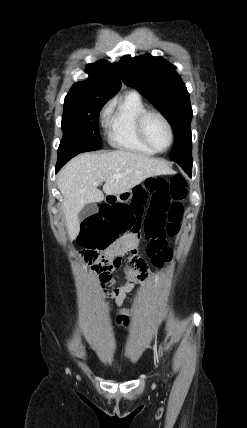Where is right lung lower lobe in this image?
Returning <instances> with one entry per match:
<instances>
[{
  "label": "right lung lower lobe",
  "mask_w": 247,
  "mask_h": 428,
  "mask_svg": "<svg viewBox=\"0 0 247 428\" xmlns=\"http://www.w3.org/2000/svg\"><path fill=\"white\" fill-rule=\"evenodd\" d=\"M76 155H77L76 153L67 154V155H58V161L55 167V172L57 173L65 163H67L71 158H73Z\"/></svg>",
  "instance_id": "98d812e1"
}]
</instances>
